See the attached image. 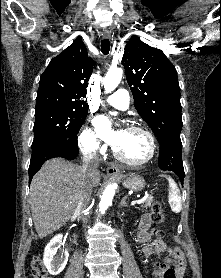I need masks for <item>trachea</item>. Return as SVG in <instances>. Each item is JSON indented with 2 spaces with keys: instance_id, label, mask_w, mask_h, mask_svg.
Returning <instances> with one entry per match:
<instances>
[{
  "instance_id": "3493384b",
  "label": "trachea",
  "mask_w": 221,
  "mask_h": 278,
  "mask_svg": "<svg viewBox=\"0 0 221 278\" xmlns=\"http://www.w3.org/2000/svg\"><path fill=\"white\" fill-rule=\"evenodd\" d=\"M101 51L104 55H107L110 51V42L108 39L101 41Z\"/></svg>"
}]
</instances>
